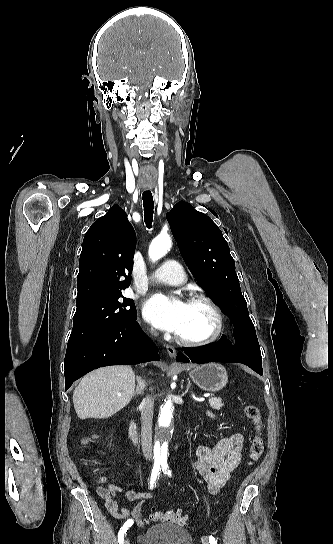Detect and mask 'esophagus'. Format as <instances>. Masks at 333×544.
<instances>
[{
	"instance_id": "34e87169",
	"label": "esophagus",
	"mask_w": 333,
	"mask_h": 544,
	"mask_svg": "<svg viewBox=\"0 0 333 544\" xmlns=\"http://www.w3.org/2000/svg\"><path fill=\"white\" fill-rule=\"evenodd\" d=\"M166 351L171 358L176 357V350L173 346L166 345Z\"/></svg>"
}]
</instances>
